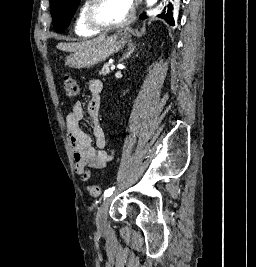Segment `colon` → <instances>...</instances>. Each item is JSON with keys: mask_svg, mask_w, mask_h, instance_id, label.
Returning a JSON list of instances; mask_svg holds the SVG:
<instances>
[{"mask_svg": "<svg viewBox=\"0 0 256 267\" xmlns=\"http://www.w3.org/2000/svg\"><path fill=\"white\" fill-rule=\"evenodd\" d=\"M63 83L68 97H77L79 95L80 88L75 79L71 76H65ZM87 191L92 197H99L102 193V187L100 185L91 184L87 186Z\"/></svg>", "mask_w": 256, "mask_h": 267, "instance_id": "5ec220e1", "label": "colon"}]
</instances>
